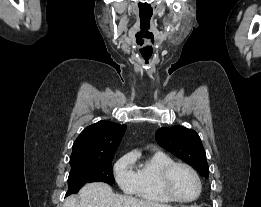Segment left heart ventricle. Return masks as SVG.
Segmentation results:
<instances>
[{"label":"left heart ventricle","mask_w":261,"mask_h":207,"mask_svg":"<svg viewBox=\"0 0 261 207\" xmlns=\"http://www.w3.org/2000/svg\"><path fill=\"white\" fill-rule=\"evenodd\" d=\"M173 192L182 199H191L197 194V183L192 174L185 168H176L170 179Z\"/></svg>","instance_id":"b2bd125f"}]
</instances>
